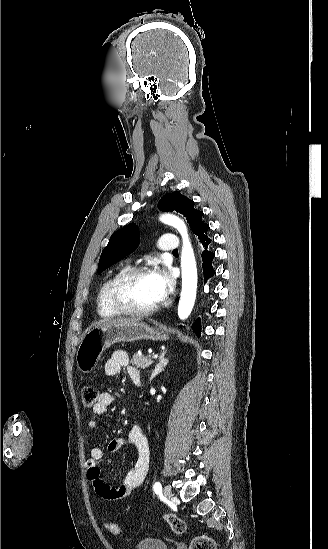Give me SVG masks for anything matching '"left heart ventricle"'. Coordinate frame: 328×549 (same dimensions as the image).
I'll return each mask as SVG.
<instances>
[{
	"mask_svg": "<svg viewBox=\"0 0 328 549\" xmlns=\"http://www.w3.org/2000/svg\"><path fill=\"white\" fill-rule=\"evenodd\" d=\"M160 268L161 265L149 267V269L152 270L151 273L138 275L124 284L120 294L124 299L130 301L132 304L118 306L129 308H146L158 302L160 299L158 298L155 290L152 273L154 270Z\"/></svg>",
	"mask_w": 328,
	"mask_h": 549,
	"instance_id": "left-heart-ventricle-1",
	"label": "left heart ventricle"
}]
</instances>
